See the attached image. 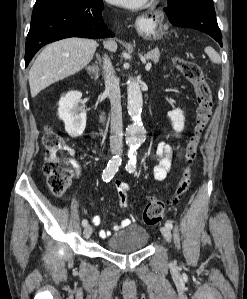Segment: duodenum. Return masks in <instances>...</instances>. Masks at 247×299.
<instances>
[{"label": "duodenum", "mask_w": 247, "mask_h": 299, "mask_svg": "<svg viewBox=\"0 0 247 299\" xmlns=\"http://www.w3.org/2000/svg\"><path fill=\"white\" fill-rule=\"evenodd\" d=\"M100 118H101L102 120L104 119V113H103V112L100 113Z\"/></svg>", "instance_id": "obj_1"}]
</instances>
